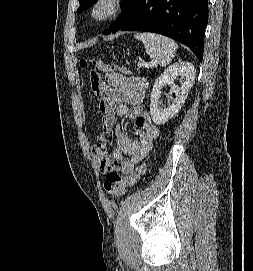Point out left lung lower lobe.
<instances>
[{
  "mask_svg": "<svg viewBox=\"0 0 253 271\" xmlns=\"http://www.w3.org/2000/svg\"><path fill=\"white\" fill-rule=\"evenodd\" d=\"M208 0H135L117 31H148L187 45L199 61L203 57Z\"/></svg>",
  "mask_w": 253,
  "mask_h": 271,
  "instance_id": "1",
  "label": "left lung lower lobe"
}]
</instances>
